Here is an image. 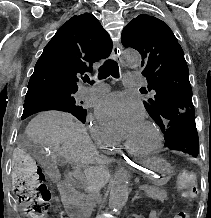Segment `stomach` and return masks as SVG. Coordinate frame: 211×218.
<instances>
[{"instance_id": "1", "label": "stomach", "mask_w": 211, "mask_h": 218, "mask_svg": "<svg viewBox=\"0 0 211 218\" xmlns=\"http://www.w3.org/2000/svg\"><path fill=\"white\" fill-rule=\"evenodd\" d=\"M138 170L157 186L166 184L170 180L172 174L170 164L161 158L146 160Z\"/></svg>"}]
</instances>
